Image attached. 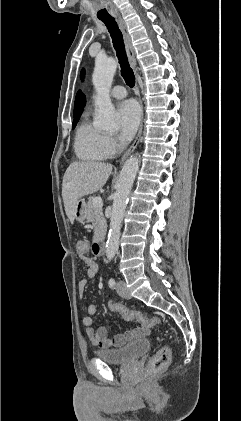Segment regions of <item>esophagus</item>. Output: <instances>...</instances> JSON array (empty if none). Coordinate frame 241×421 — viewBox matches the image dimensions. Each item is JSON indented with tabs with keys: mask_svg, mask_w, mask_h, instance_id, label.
Masks as SVG:
<instances>
[{
	"mask_svg": "<svg viewBox=\"0 0 241 421\" xmlns=\"http://www.w3.org/2000/svg\"><path fill=\"white\" fill-rule=\"evenodd\" d=\"M118 23H119L120 29L123 33V37H124V41H125V45H126V50H127L128 61L130 63V66L136 72L137 71L136 58H135V52H134V48H133V45H132V40H131L130 34L128 32V29L126 27L125 22L121 18H118ZM139 100H140V103H141V107H143L140 95H139ZM142 129H143V111H142V120H141V123H140V126H139L137 136H136L133 144L130 146V148L121 157L120 163H123L129 157V155L135 150V148L137 147V145L139 143L141 133H142Z\"/></svg>",
	"mask_w": 241,
	"mask_h": 421,
	"instance_id": "esophagus-1",
	"label": "esophagus"
}]
</instances>
